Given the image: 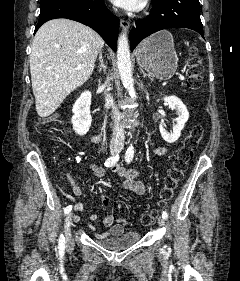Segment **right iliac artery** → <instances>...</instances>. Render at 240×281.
Listing matches in <instances>:
<instances>
[{
  "mask_svg": "<svg viewBox=\"0 0 240 281\" xmlns=\"http://www.w3.org/2000/svg\"><path fill=\"white\" fill-rule=\"evenodd\" d=\"M119 160V154H116L110 158H108L106 161H105V166L106 167H111L113 165H115L117 163V161ZM72 210V206L69 205L67 206L65 209H64V214H68L70 211ZM58 248L61 252L64 251L65 249V238L64 236L61 234L60 237H59V245H58Z\"/></svg>",
  "mask_w": 240,
  "mask_h": 281,
  "instance_id": "82829eb1",
  "label": "right iliac artery"
}]
</instances>
